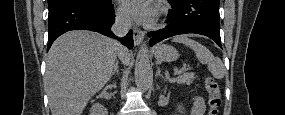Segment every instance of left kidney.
<instances>
[{"mask_svg":"<svg viewBox=\"0 0 285 115\" xmlns=\"http://www.w3.org/2000/svg\"><path fill=\"white\" fill-rule=\"evenodd\" d=\"M177 109H178V111H179L180 113H184V112H183L184 108H183L182 105H178Z\"/></svg>","mask_w":285,"mask_h":115,"instance_id":"1","label":"left kidney"}]
</instances>
